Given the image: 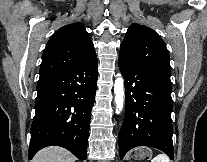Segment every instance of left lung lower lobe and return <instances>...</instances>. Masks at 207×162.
<instances>
[{"mask_svg":"<svg viewBox=\"0 0 207 162\" xmlns=\"http://www.w3.org/2000/svg\"><path fill=\"white\" fill-rule=\"evenodd\" d=\"M125 83V116L119 132L121 160L132 148L149 146L174 159L170 76L118 60Z\"/></svg>","mask_w":207,"mask_h":162,"instance_id":"0a47b994","label":"left lung lower lobe"}]
</instances>
